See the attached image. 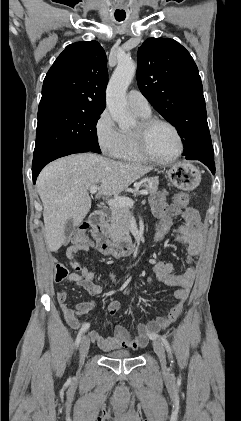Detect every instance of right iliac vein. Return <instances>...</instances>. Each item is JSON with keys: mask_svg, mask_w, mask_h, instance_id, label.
Segmentation results:
<instances>
[{"mask_svg": "<svg viewBox=\"0 0 241 421\" xmlns=\"http://www.w3.org/2000/svg\"><path fill=\"white\" fill-rule=\"evenodd\" d=\"M90 348V340L84 335L79 348L80 365L82 366Z\"/></svg>", "mask_w": 241, "mask_h": 421, "instance_id": "right-iliac-vein-1", "label": "right iliac vein"}]
</instances>
